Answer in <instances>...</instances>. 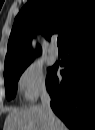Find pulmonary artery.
I'll list each match as a JSON object with an SVG mask.
<instances>
[{
  "label": "pulmonary artery",
  "mask_w": 95,
  "mask_h": 130,
  "mask_svg": "<svg viewBox=\"0 0 95 130\" xmlns=\"http://www.w3.org/2000/svg\"><path fill=\"white\" fill-rule=\"evenodd\" d=\"M49 53L51 56H54V57L58 56V47L54 41L49 47Z\"/></svg>",
  "instance_id": "obj_1"
}]
</instances>
